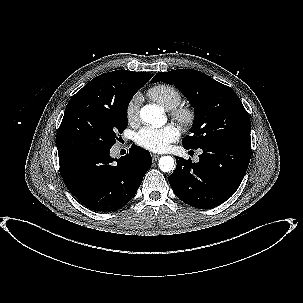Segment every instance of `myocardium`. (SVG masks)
Wrapping results in <instances>:
<instances>
[{"mask_svg":"<svg viewBox=\"0 0 303 303\" xmlns=\"http://www.w3.org/2000/svg\"><path fill=\"white\" fill-rule=\"evenodd\" d=\"M170 112L172 118L184 127L192 126L195 121V112L190 107L178 106Z\"/></svg>","mask_w":303,"mask_h":303,"instance_id":"myocardium-1","label":"myocardium"}]
</instances>
